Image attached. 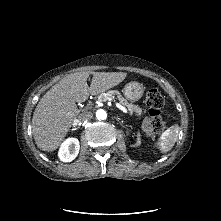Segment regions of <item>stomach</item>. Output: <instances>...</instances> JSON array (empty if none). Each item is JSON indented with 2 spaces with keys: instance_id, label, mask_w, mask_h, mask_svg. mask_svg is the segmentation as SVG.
<instances>
[{
  "instance_id": "1",
  "label": "stomach",
  "mask_w": 221,
  "mask_h": 221,
  "mask_svg": "<svg viewBox=\"0 0 221 221\" xmlns=\"http://www.w3.org/2000/svg\"><path fill=\"white\" fill-rule=\"evenodd\" d=\"M123 93L129 101L134 102L142 97L144 93V87L139 82L131 81L125 85Z\"/></svg>"
}]
</instances>
